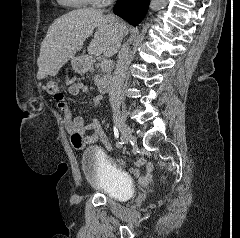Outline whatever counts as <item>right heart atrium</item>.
I'll use <instances>...</instances> for the list:
<instances>
[{
  "mask_svg": "<svg viewBox=\"0 0 240 238\" xmlns=\"http://www.w3.org/2000/svg\"><path fill=\"white\" fill-rule=\"evenodd\" d=\"M101 2H106L107 0H100Z\"/></svg>",
  "mask_w": 240,
  "mask_h": 238,
  "instance_id": "d8ad5b80",
  "label": "right heart atrium"
}]
</instances>
